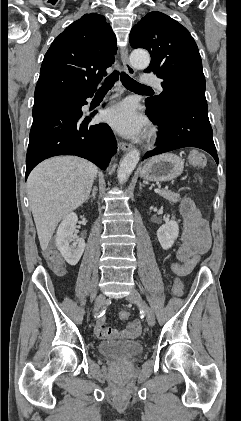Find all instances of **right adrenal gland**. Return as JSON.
Instances as JSON below:
<instances>
[{"label":"right adrenal gland","mask_w":241,"mask_h":421,"mask_svg":"<svg viewBox=\"0 0 241 421\" xmlns=\"http://www.w3.org/2000/svg\"><path fill=\"white\" fill-rule=\"evenodd\" d=\"M96 194H97V187L94 186L93 190H92V194L87 198V200H89L90 198L95 199L96 198Z\"/></svg>","instance_id":"obj_1"}]
</instances>
